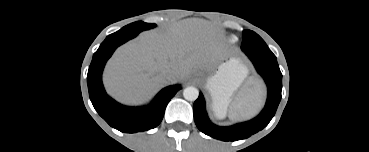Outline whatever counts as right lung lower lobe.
<instances>
[{
	"label": "right lung lower lobe",
	"mask_w": 369,
	"mask_h": 152,
	"mask_svg": "<svg viewBox=\"0 0 369 152\" xmlns=\"http://www.w3.org/2000/svg\"><path fill=\"white\" fill-rule=\"evenodd\" d=\"M137 35L118 31L107 36L94 53L87 75L89 97L95 110L111 127L126 133L146 131L158 126L168 102L181 89L179 85L166 87L145 107L123 106L106 94L102 84L106 61L118 46Z\"/></svg>",
	"instance_id": "98d812e1"
}]
</instances>
